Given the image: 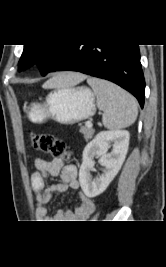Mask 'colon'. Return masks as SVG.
Instances as JSON below:
<instances>
[{
    "instance_id": "colon-1",
    "label": "colon",
    "mask_w": 166,
    "mask_h": 267,
    "mask_svg": "<svg viewBox=\"0 0 166 267\" xmlns=\"http://www.w3.org/2000/svg\"><path fill=\"white\" fill-rule=\"evenodd\" d=\"M31 144L35 150L51 154L53 157L69 160L71 152L65 142L50 134H31Z\"/></svg>"
}]
</instances>
